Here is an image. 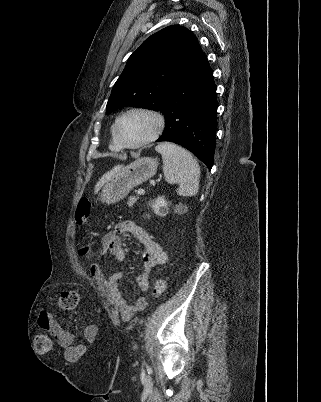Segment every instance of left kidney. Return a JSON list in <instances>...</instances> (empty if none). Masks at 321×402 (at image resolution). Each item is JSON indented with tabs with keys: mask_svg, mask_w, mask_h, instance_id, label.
Listing matches in <instances>:
<instances>
[{
	"mask_svg": "<svg viewBox=\"0 0 321 402\" xmlns=\"http://www.w3.org/2000/svg\"><path fill=\"white\" fill-rule=\"evenodd\" d=\"M149 205L157 216L164 217L168 214V202L164 196H158L156 200L150 202Z\"/></svg>",
	"mask_w": 321,
	"mask_h": 402,
	"instance_id": "left-kidney-1",
	"label": "left kidney"
}]
</instances>
